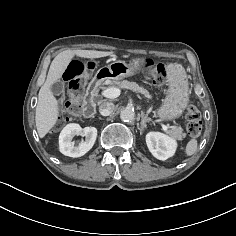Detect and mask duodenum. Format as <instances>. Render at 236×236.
I'll return each mask as SVG.
<instances>
[{
    "mask_svg": "<svg viewBox=\"0 0 236 236\" xmlns=\"http://www.w3.org/2000/svg\"><path fill=\"white\" fill-rule=\"evenodd\" d=\"M105 80V76L97 75L88 85L83 104V116L86 119L94 118L96 114L95 95L99 86Z\"/></svg>",
    "mask_w": 236,
    "mask_h": 236,
    "instance_id": "duodenum-1",
    "label": "duodenum"
}]
</instances>
